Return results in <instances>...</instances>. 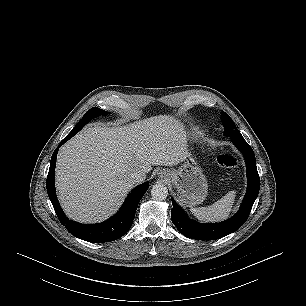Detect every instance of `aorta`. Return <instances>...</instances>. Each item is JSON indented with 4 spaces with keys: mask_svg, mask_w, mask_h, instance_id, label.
<instances>
[{
    "mask_svg": "<svg viewBox=\"0 0 306 306\" xmlns=\"http://www.w3.org/2000/svg\"><path fill=\"white\" fill-rule=\"evenodd\" d=\"M151 196L154 200H164L168 196V189L164 184H155L151 189Z\"/></svg>",
    "mask_w": 306,
    "mask_h": 306,
    "instance_id": "obj_1",
    "label": "aorta"
}]
</instances>
